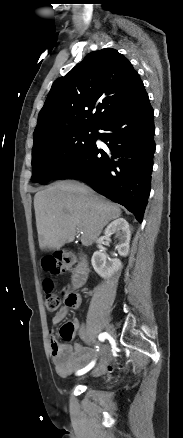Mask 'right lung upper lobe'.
I'll use <instances>...</instances> for the list:
<instances>
[{
    "label": "right lung upper lobe",
    "mask_w": 183,
    "mask_h": 438,
    "mask_svg": "<svg viewBox=\"0 0 183 438\" xmlns=\"http://www.w3.org/2000/svg\"><path fill=\"white\" fill-rule=\"evenodd\" d=\"M145 94L138 73L117 50L91 52L53 83L39 113L34 140L72 128L98 127Z\"/></svg>",
    "instance_id": "cb5924a9"
}]
</instances>
